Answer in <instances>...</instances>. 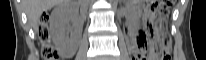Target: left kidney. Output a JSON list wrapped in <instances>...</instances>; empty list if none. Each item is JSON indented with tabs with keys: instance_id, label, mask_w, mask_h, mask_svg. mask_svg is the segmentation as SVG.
Instances as JSON below:
<instances>
[{
	"instance_id": "left-kidney-1",
	"label": "left kidney",
	"mask_w": 206,
	"mask_h": 60,
	"mask_svg": "<svg viewBox=\"0 0 206 60\" xmlns=\"http://www.w3.org/2000/svg\"><path fill=\"white\" fill-rule=\"evenodd\" d=\"M138 14H139V11L135 7L131 8L129 10V18L131 20H135L137 18Z\"/></svg>"
}]
</instances>
